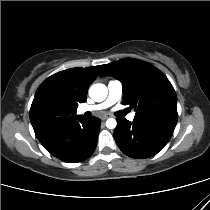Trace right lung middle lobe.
<instances>
[{
	"label": "right lung middle lobe",
	"mask_w": 210,
	"mask_h": 210,
	"mask_svg": "<svg viewBox=\"0 0 210 210\" xmlns=\"http://www.w3.org/2000/svg\"><path fill=\"white\" fill-rule=\"evenodd\" d=\"M61 120V110L57 107H50L36 117L33 127L37 132H44L58 125Z\"/></svg>",
	"instance_id": "dd1d6c3e"
}]
</instances>
